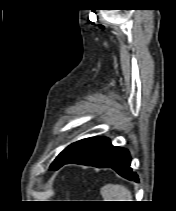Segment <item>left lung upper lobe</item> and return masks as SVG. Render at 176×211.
<instances>
[{"label":"left lung upper lobe","instance_id":"obj_1","mask_svg":"<svg viewBox=\"0 0 176 211\" xmlns=\"http://www.w3.org/2000/svg\"><path fill=\"white\" fill-rule=\"evenodd\" d=\"M92 138L82 139L69 145L64 149L51 164L50 168L57 170L61 164L77 154Z\"/></svg>","mask_w":176,"mask_h":211}]
</instances>
